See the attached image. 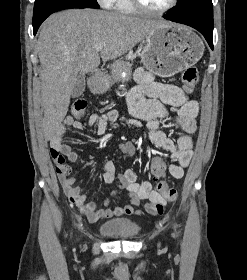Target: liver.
<instances>
[{
  "mask_svg": "<svg viewBox=\"0 0 247 280\" xmlns=\"http://www.w3.org/2000/svg\"><path fill=\"white\" fill-rule=\"evenodd\" d=\"M165 24L96 9H70L50 16L37 42L45 136L50 139L59 130L78 74L95 70L100 57L105 61L120 57ZM101 43L99 56L95 46Z\"/></svg>",
  "mask_w": 247,
  "mask_h": 280,
  "instance_id": "6515ba94",
  "label": "liver"
}]
</instances>
